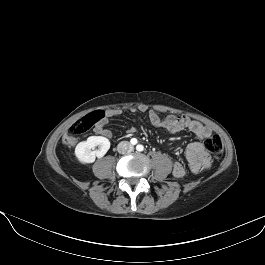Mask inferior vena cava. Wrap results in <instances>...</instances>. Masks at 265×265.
Segmentation results:
<instances>
[{
    "label": "inferior vena cava",
    "instance_id": "602c4592",
    "mask_svg": "<svg viewBox=\"0 0 265 265\" xmlns=\"http://www.w3.org/2000/svg\"><path fill=\"white\" fill-rule=\"evenodd\" d=\"M133 150V146L128 141H121L117 146L120 154H128Z\"/></svg>",
    "mask_w": 265,
    "mask_h": 265
}]
</instances>
